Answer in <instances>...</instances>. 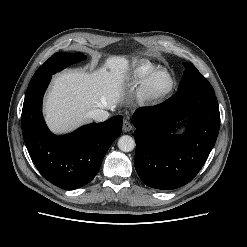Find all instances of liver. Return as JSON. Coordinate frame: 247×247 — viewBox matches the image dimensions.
Masks as SVG:
<instances>
[{"instance_id": "6515ba94", "label": "liver", "mask_w": 247, "mask_h": 247, "mask_svg": "<svg viewBox=\"0 0 247 247\" xmlns=\"http://www.w3.org/2000/svg\"><path fill=\"white\" fill-rule=\"evenodd\" d=\"M128 68L126 57L111 56L95 71L68 70L56 75L44 103L51 131H72L90 118L93 109L113 110L120 101Z\"/></svg>"}]
</instances>
